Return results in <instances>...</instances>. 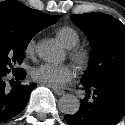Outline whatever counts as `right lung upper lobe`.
<instances>
[{
  "label": "right lung upper lobe",
  "instance_id": "obj_1",
  "mask_svg": "<svg viewBox=\"0 0 125 125\" xmlns=\"http://www.w3.org/2000/svg\"><path fill=\"white\" fill-rule=\"evenodd\" d=\"M53 16L31 9L18 1L0 2V29L16 35L33 37L54 24Z\"/></svg>",
  "mask_w": 125,
  "mask_h": 125
}]
</instances>
